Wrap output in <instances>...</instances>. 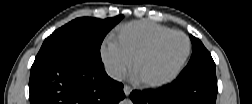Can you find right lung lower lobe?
Instances as JSON below:
<instances>
[{"instance_id":"obj_1","label":"right lung lower lobe","mask_w":252,"mask_h":104,"mask_svg":"<svg viewBox=\"0 0 252 104\" xmlns=\"http://www.w3.org/2000/svg\"><path fill=\"white\" fill-rule=\"evenodd\" d=\"M32 104H117L123 84L111 79L101 61L76 53L34 62L29 80Z\"/></svg>"}]
</instances>
